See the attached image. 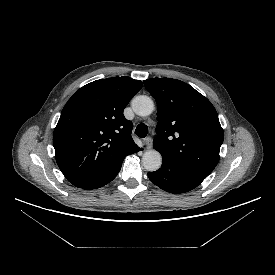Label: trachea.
<instances>
[{"label":"trachea","instance_id":"trachea-1","mask_svg":"<svg viewBox=\"0 0 275 275\" xmlns=\"http://www.w3.org/2000/svg\"><path fill=\"white\" fill-rule=\"evenodd\" d=\"M135 134L140 138H145L148 134V127L144 123H140L135 129Z\"/></svg>","mask_w":275,"mask_h":275}]
</instances>
